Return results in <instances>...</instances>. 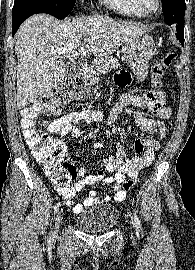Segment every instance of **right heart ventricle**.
Returning <instances> with one entry per match:
<instances>
[{
  "label": "right heart ventricle",
  "instance_id": "obj_1",
  "mask_svg": "<svg viewBox=\"0 0 195 270\" xmlns=\"http://www.w3.org/2000/svg\"><path fill=\"white\" fill-rule=\"evenodd\" d=\"M106 5L121 15L133 18L146 17L136 5L135 0H103Z\"/></svg>",
  "mask_w": 195,
  "mask_h": 270
}]
</instances>
